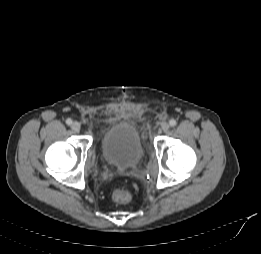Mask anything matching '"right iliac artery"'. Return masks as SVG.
Returning a JSON list of instances; mask_svg holds the SVG:
<instances>
[{"instance_id":"82829eb1","label":"right iliac artery","mask_w":261,"mask_h":254,"mask_svg":"<svg viewBox=\"0 0 261 254\" xmlns=\"http://www.w3.org/2000/svg\"><path fill=\"white\" fill-rule=\"evenodd\" d=\"M66 124H67V125H71V124H72V120H71V119H67V120H66Z\"/></svg>"}]
</instances>
